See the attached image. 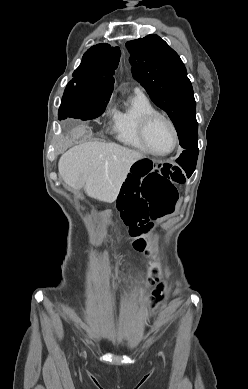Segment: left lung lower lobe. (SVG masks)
I'll return each instance as SVG.
<instances>
[{"mask_svg":"<svg viewBox=\"0 0 248 389\" xmlns=\"http://www.w3.org/2000/svg\"><path fill=\"white\" fill-rule=\"evenodd\" d=\"M185 133L191 136V139L198 137V123L196 114L189 116L183 122ZM198 157V145L194 148L186 149L182 152L176 162L184 169L187 177H190L195 170Z\"/></svg>","mask_w":248,"mask_h":389,"instance_id":"0a47b994","label":"left lung lower lobe"}]
</instances>
